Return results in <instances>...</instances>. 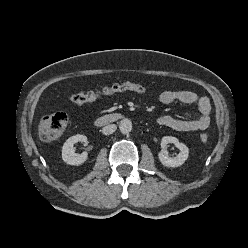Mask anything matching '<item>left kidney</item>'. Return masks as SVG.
I'll use <instances>...</instances> for the list:
<instances>
[{
  "instance_id": "1",
  "label": "left kidney",
  "mask_w": 248,
  "mask_h": 248,
  "mask_svg": "<svg viewBox=\"0 0 248 248\" xmlns=\"http://www.w3.org/2000/svg\"><path fill=\"white\" fill-rule=\"evenodd\" d=\"M168 143L174 144L178 149L179 153L175 157H170L166 150V146ZM161 148L162 150L158 153V158L160 162L166 167H178L181 166L188 158L189 149L184 144L179 142L176 137L165 136L161 140Z\"/></svg>"
}]
</instances>
